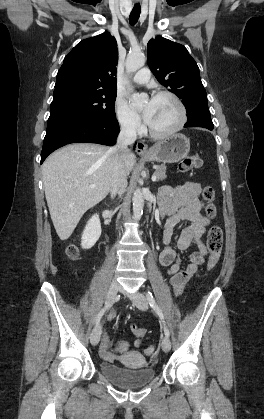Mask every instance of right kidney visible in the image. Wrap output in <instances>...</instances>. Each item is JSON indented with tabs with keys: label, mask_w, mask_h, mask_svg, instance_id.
Wrapping results in <instances>:
<instances>
[{
	"label": "right kidney",
	"mask_w": 264,
	"mask_h": 419,
	"mask_svg": "<svg viewBox=\"0 0 264 419\" xmlns=\"http://www.w3.org/2000/svg\"><path fill=\"white\" fill-rule=\"evenodd\" d=\"M101 235V224L97 214L93 215L88 221L83 234L81 246L83 249H90L95 245Z\"/></svg>",
	"instance_id": "1"
}]
</instances>
